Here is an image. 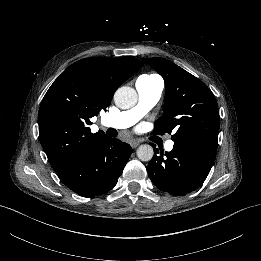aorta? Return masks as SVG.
<instances>
[{
	"label": "aorta",
	"instance_id": "1",
	"mask_svg": "<svg viewBox=\"0 0 261 261\" xmlns=\"http://www.w3.org/2000/svg\"><path fill=\"white\" fill-rule=\"evenodd\" d=\"M114 102L121 109H131L138 102V94L136 90L129 86H123L116 90L114 94ZM154 151L150 145H141L137 149V157L143 162L150 161L153 158Z\"/></svg>",
	"mask_w": 261,
	"mask_h": 261
}]
</instances>
